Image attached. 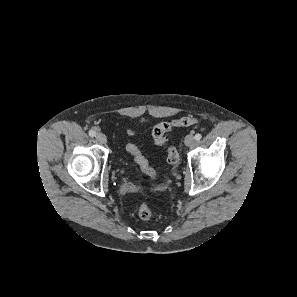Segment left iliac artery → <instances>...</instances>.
I'll use <instances>...</instances> for the list:
<instances>
[{
	"label": "left iliac artery",
	"instance_id": "left-iliac-artery-1",
	"mask_svg": "<svg viewBox=\"0 0 297 297\" xmlns=\"http://www.w3.org/2000/svg\"><path fill=\"white\" fill-rule=\"evenodd\" d=\"M194 138L196 141H199L202 138V135L200 133H197Z\"/></svg>",
	"mask_w": 297,
	"mask_h": 297
}]
</instances>
